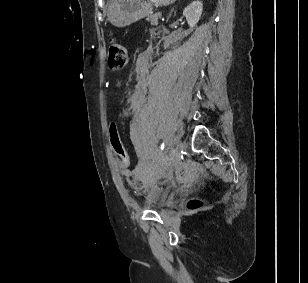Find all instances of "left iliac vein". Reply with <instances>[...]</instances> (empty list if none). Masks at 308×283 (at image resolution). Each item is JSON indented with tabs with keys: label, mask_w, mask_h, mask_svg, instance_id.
<instances>
[{
	"label": "left iliac vein",
	"mask_w": 308,
	"mask_h": 283,
	"mask_svg": "<svg viewBox=\"0 0 308 283\" xmlns=\"http://www.w3.org/2000/svg\"><path fill=\"white\" fill-rule=\"evenodd\" d=\"M187 148V145L185 142L183 141H178L177 143V147L173 153V158H174V161L177 162L183 155V153L185 152Z\"/></svg>",
	"instance_id": "obj_1"
}]
</instances>
